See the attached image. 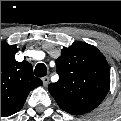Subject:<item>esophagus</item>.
Returning a JSON list of instances; mask_svg holds the SVG:
<instances>
[{
	"mask_svg": "<svg viewBox=\"0 0 121 121\" xmlns=\"http://www.w3.org/2000/svg\"><path fill=\"white\" fill-rule=\"evenodd\" d=\"M42 81H43L44 86L46 87L48 85L49 78L47 76H45L42 78Z\"/></svg>",
	"mask_w": 121,
	"mask_h": 121,
	"instance_id": "1",
	"label": "esophagus"
}]
</instances>
